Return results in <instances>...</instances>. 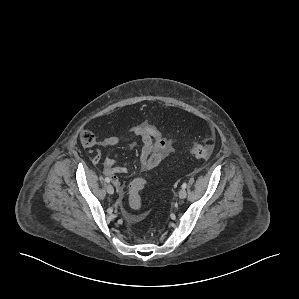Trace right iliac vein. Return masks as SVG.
I'll list each match as a JSON object with an SVG mask.
<instances>
[{
  "instance_id": "obj_1",
  "label": "right iliac vein",
  "mask_w": 299,
  "mask_h": 299,
  "mask_svg": "<svg viewBox=\"0 0 299 299\" xmlns=\"http://www.w3.org/2000/svg\"><path fill=\"white\" fill-rule=\"evenodd\" d=\"M106 191H107L108 194H113V193H114V188H113V186H112L111 184H108V185L106 186Z\"/></svg>"
}]
</instances>
